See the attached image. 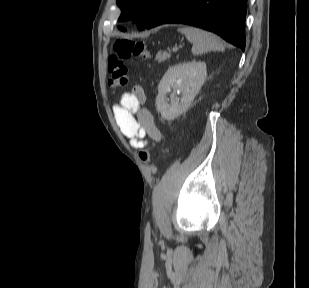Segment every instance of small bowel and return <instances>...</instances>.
Listing matches in <instances>:
<instances>
[{
  "label": "small bowel",
  "instance_id": "obj_1",
  "mask_svg": "<svg viewBox=\"0 0 309 288\" xmlns=\"http://www.w3.org/2000/svg\"><path fill=\"white\" fill-rule=\"evenodd\" d=\"M145 100L141 88L122 94L119 104L113 107L116 123L122 134L130 140L135 149L147 146L146 137L160 141L161 133L157 128L153 115L142 107Z\"/></svg>",
  "mask_w": 309,
  "mask_h": 288
}]
</instances>
